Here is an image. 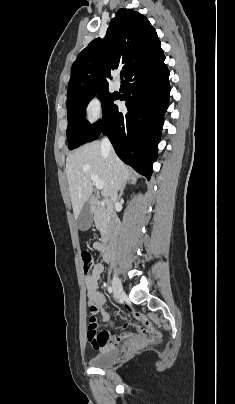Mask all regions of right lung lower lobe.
<instances>
[{
	"label": "right lung lower lobe",
	"instance_id": "98d812e1",
	"mask_svg": "<svg viewBox=\"0 0 235 404\" xmlns=\"http://www.w3.org/2000/svg\"><path fill=\"white\" fill-rule=\"evenodd\" d=\"M164 60L165 56L126 77L128 92L117 99L126 100L128 113L119 112L114 104L87 141L108 135L118 157L148 180L169 102V71Z\"/></svg>",
	"mask_w": 235,
	"mask_h": 404
}]
</instances>
